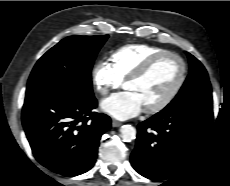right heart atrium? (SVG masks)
I'll return each mask as SVG.
<instances>
[{"label":"right heart atrium","instance_id":"d8ad5b80","mask_svg":"<svg viewBox=\"0 0 230 186\" xmlns=\"http://www.w3.org/2000/svg\"><path fill=\"white\" fill-rule=\"evenodd\" d=\"M92 81L95 89L103 96L119 88L122 81L107 60H99L92 69Z\"/></svg>","mask_w":230,"mask_h":186}]
</instances>
